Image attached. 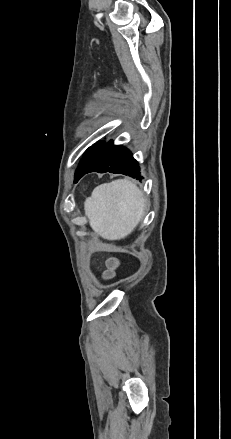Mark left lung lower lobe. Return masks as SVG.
<instances>
[{
    "mask_svg": "<svg viewBox=\"0 0 231 439\" xmlns=\"http://www.w3.org/2000/svg\"><path fill=\"white\" fill-rule=\"evenodd\" d=\"M90 172L124 174L138 180L143 178L140 175L138 162L133 158L132 153L125 147L114 145L112 141L103 145L94 162L80 175L79 179Z\"/></svg>",
    "mask_w": 231,
    "mask_h": 439,
    "instance_id": "0a47b994",
    "label": "left lung lower lobe"
}]
</instances>
